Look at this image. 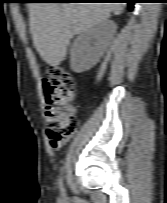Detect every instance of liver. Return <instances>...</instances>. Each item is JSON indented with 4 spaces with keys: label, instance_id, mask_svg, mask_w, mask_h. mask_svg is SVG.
Masks as SVG:
<instances>
[{
    "label": "liver",
    "instance_id": "liver-1",
    "mask_svg": "<svg viewBox=\"0 0 167 203\" xmlns=\"http://www.w3.org/2000/svg\"><path fill=\"white\" fill-rule=\"evenodd\" d=\"M122 3H30V30L42 59L51 66L65 60L70 40L110 17Z\"/></svg>",
    "mask_w": 167,
    "mask_h": 203
}]
</instances>
